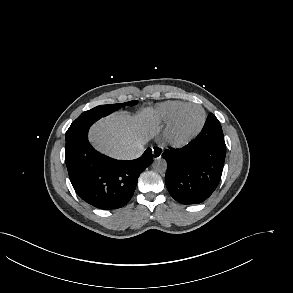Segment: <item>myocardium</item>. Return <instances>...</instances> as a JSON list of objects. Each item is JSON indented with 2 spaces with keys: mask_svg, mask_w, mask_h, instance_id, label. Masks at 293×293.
<instances>
[{
  "mask_svg": "<svg viewBox=\"0 0 293 293\" xmlns=\"http://www.w3.org/2000/svg\"><path fill=\"white\" fill-rule=\"evenodd\" d=\"M192 106L200 109V111L202 113L201 122H200L199 126L190 135H188L184 138H179L176 136V133H175L178 117L183 109H185L187 107H192ZM206 119H207L206 112L201 105L196 104V103H183V104H181L173 113V115H172L171 119L169 120L168 125L165 129V132H164L165 143L168 146L173 147V148H182L184 146H187L200 134V132L204 128V125L206 123Z\"/></svg>",
  "mask_w": 293,
  "mask_h": 293,
  "instance_id": "obj_1",
  "label": "myocardium"
}]
</instances>
